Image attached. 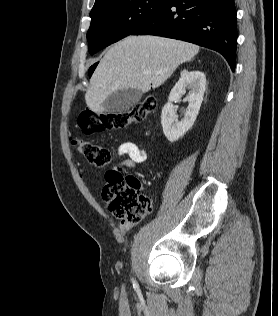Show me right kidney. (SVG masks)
I'll return each instance as SVG.
<instances>
[{
    "instance_id": "obj_1",
    "label": "right kidney",
    "mask_w": 278,
    "mask_h": 316,
    "mask_svg": "<svg viewBox=\"0 0 278 316\" xmlns=\"http://www.w3.org/2000/svg\"><path fill=\"white\" fill-rule=\"evenodd\" d=\"M186 89L190 90L187 96L189 105L184 119L178 121L172 102L179 100L185 94ZM205 89L206 77L203 72L198 70H183L181 72V77L171 90L169 100L163 107L161 114L163 133L170 142L177 141L194 125Z\"/></svg>"
}]
</instances>
